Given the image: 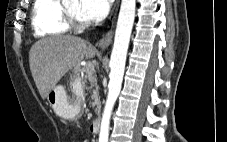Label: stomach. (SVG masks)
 <instances>
[{"label": "stomach", "mask_w": 227, "mask_h": 142, "mask_svg": "<svg viewBox=\"0 0 227 142\" xmlns=\"http://www.w3.org/2000/svg\"><path fill=\"white\" fill-rule=\"evenodd\" d=\"M47 101L57 115L67 120L74 119L81 112V104L73 103L61 85L49 91Z\"/></svg>", "instance_id": "stomach-1"}]
</instances>
